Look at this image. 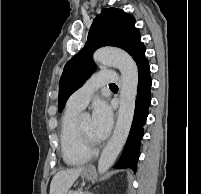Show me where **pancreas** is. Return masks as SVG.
<instances>
[{
	"mask_svg": "<svg viewBox=\"0 0 201 194\" xmlns=\"http://www.w3.org/2000/svg\"><path fill=\"white\" fill-rule=\"evenodd\" d=\"M81 191H75L72 194H80Z\"/></svg>",
	"mask_w": 201,
	"mask_h": 194,
	"instance_id": "1",
	"label": "pancreas"
}]
</instances>
